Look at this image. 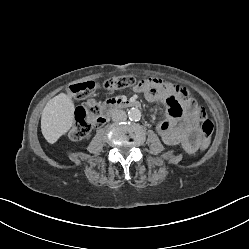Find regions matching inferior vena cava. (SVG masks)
I'll use <instances>...</instances> for the list:
<instances>
[{
	"label": "inferior vena cava",
	"mask_w": 249,
	"mask_h": 249,
	"mask_svg": "<svg viewBox=\"0 0 249 249\" xmlns=\"http://www.w3.org/2000/svg\"><path fill=\"white\" fill-rule=\"evenodd\" d=\"M126 119H127V115H126L125 111H123V110H115L112 113V120L115 122L125 121Z\"/></svg>",
	"instance_id": "obj_1"
}]
</instances>
